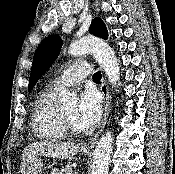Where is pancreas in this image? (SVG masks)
<instances>
[{"label":"pancreas","instance_id":"pancreas-1","mask_svg":"<svg viewBox=\"0 0 175 174\" xmlns=\"http://www.w3.org/2000/svg\"><path fill=\"white\" fill-rule=\"evenodd\" d=\"M62 171L64 172V174H73V165H72V163H69L65 167H63ZM51 174H54V173H51Z\"/></svg>","mask_w":175,"mask_h":174}]
</instances>
